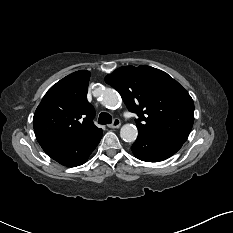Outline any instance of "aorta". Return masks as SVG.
Wrapping results in <instances>:
<instances>
[{
	"instance_id": "1",
	"label": "aorta",
	"mask_w": 233,
	"mask_h": 233,
	"mask_svg": "<svg viewBox=\"0 0 233 233\" xmlns=\"http://www.w3.org/2000/svg\"><path fill=\"white\" fill-rule=\"evenodd\" d=\"M101 103L108 108H115L119 102L120 97L117 91L107 88L101 92ZM138 130L133 124H125L121 127L120 136L125 142H134L137 138Z\"/></svg>"
}]
</instances>
